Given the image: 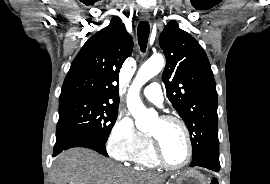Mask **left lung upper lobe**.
<instances>
[{"label":"left lung upper lobe","instance_id":"obj_1","mask_svg":"<svg viewBox=\"0 0 270 184\" xmlns=\"http://www.w3.org/2000/svg\"><path fill=\"white\" fill-rule=\"evenodd\" d=\"M159 42L166 57L162 80L167 98L190 132L191 164L219 154L217 92L205 51L176 21L166 25Z\"/></svg>","mask_w":270,"mask_h":184}]
</instances>
